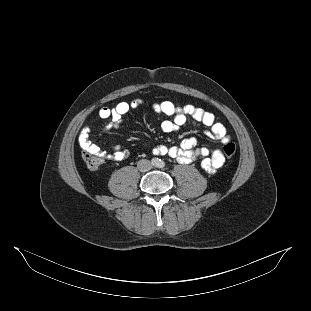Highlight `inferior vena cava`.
I'll list each match as a JSON object with an SVG mask.
<instances>
[{"label": "inferior vena cava", "instance_id": "obj_1", "mask_svg": "<svg viewBox=\"0 0 311 311\" xmlns=\"http://www.w3.org/2000/svg\"><path fill=\"white\" fill-rule=\"evenodd\" d=\"M137 168L141 172H146L152 168V165H151L150 161H148L146 159H142V160L138 161Z\"/></svg>", "mask_w": 311, "mask_h": 311}]
</instances>
